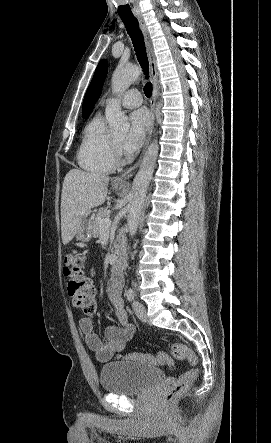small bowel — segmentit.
Here are the masks:
<instances>
[{"mask_svg":"<svg viewBox=\"0 0 271 443\" xmlns=\"http://www.w3.org/2000/svg\"><path fill=\"white\" fill-rule=\"evenodd\" d=\"M123 281L119 277L110 280L107 292L113 306L119 326H108L105 329V340L103 341L94 329L90 318H82L79 326L85 335L88 348L95 354L99 361H108L114 354L122 351L126 344L132 339L134 326L130 323L121 298Z\"/></svg>","mask_w":271,"mask_h":443,"instance_id":"obj_1","label":"small bowel"}]
</instances>
